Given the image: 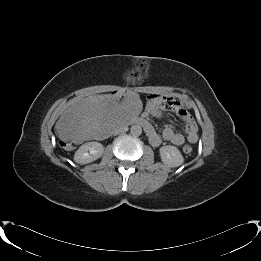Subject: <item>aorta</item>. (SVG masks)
Returning a JSON list of instances; mask_svg holds the SVG:
<instances>
[{"label":"aorta","mask_w":261,"mask_h":261,"mask_svg":"<svg viewBox=\"0 0 261 261\" xmlns=\"http://www.w3.org/2000/svg\"><path fill=\"white\" fill-rule=\"evenodd\" d=\"M130 133L133 136H140L142 134V128L139 125H133L131 126Z\"/></svg>","instance_id":"762f6f07"}]
</instances>
